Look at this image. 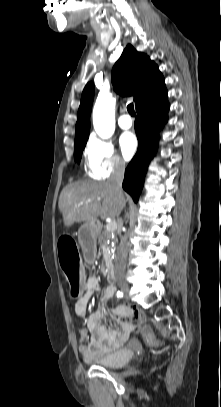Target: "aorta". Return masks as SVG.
Masks as SVG:
<instances>
[{
	"instance_id": "aorta-1",
	"label": "aorta",
	"mask_w": 221,
	"mask_h": 407,
	"mask_svg": "<svg viewBox=\"0 0 221 407\" xmlns=\"http://www.w3.org/2000/svg\"><path fill=\"white\" fill-rule=\"evenodd\" d=\"M115 99L110 93L101 92L93 109V126L103 139L110 138L115 131Z\"/></svg>"
}]
</instances>
